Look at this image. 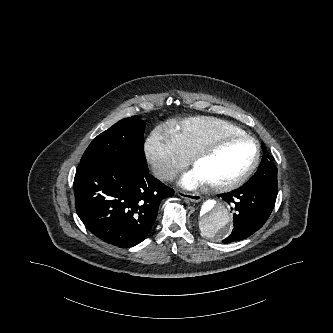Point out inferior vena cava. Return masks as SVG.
Instances as JSON below:
<instances>
[{
	"mask_svg": "<svg viewBox=\"0 0 333 333\" xmlns=\"http://www.w3.org/2000/svg\"><path fill=\"white\" fill-rule=\"evenodd\" d=\"M156 176L160 179L172 180L176 176V171L171 170L169 168H160L156 172Z\"/></svg>",
	"mask_w": 333,
	"mask_h": 333,
	"instance_id": "1",
	"label": "inferior vena cava"
}]
</instances>
